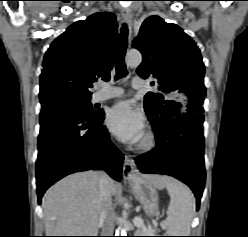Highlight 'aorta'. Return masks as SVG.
Returning <instances> with one entry per match:
<instances>
[{"label":"aorta","mask_w":248,"mask_h":237,"mask_svg":"<svg viewBox=\"0 0 248 237\" xmlns=\"http://www.w3.org/2000/svg\"><path fill=\"white\" fill-rule=\"evenodd\" d=\"M125 61L128 66L137 67L142 62V55L138 51H130L127 53ZM123 232L124 231L121 230V234H123Z\"/></svg>","instance_id":"aorta-1"}]
</instances>
